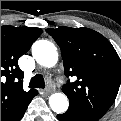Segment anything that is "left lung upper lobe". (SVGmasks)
Instances as JSON below:
<instances>
[{
	"label": "left lung upper lobe",
	"instance_id": "left-lung-upper-lobe-1",
	"mask_svg": "<svg viewBox=\"0 0 121 121\" xmlns=\"http://www.w3.org/2000/svg\"><path fill=\"white\" fill-rule=\"evenodd\" d=\"M61 47L66 77H76L62 87L68 110L100 119L113 104L121 81V61L111 43L88 28L46 30Z\"/></svg>",
	"mask_w": 121,
	"mask_h": 121
}]
</instances>
